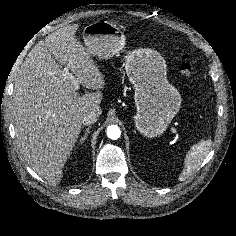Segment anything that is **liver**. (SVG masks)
Returning <instances> with one entry per match:
<instances>
[{
  "instance_id": "obj_1",
  "label": "liver",
  "mask_w": 236,
  "mask_h": 236,
  "mask_svg": "<svg viewBox=\"0 0 236 236\" xmlns=\"http://www.w3.org/2000/svg\"><path fill=\"white\" fill-rule=\"evenodd\" d=\"M78 27L59 29L32 48L12 95L18 147L28 165L52 185L61 180L62 168L81 132L82 114L102 112L104 78L75 38ZM65 70L82 87L95 92L78 95V89L64 76Z\"/></svg>"
}]
</instances>
